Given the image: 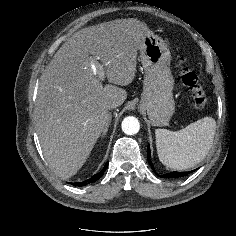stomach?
Segmentation results:
<instances>
[{"instance_id": "stomach-1", "label": "stomach", "mask_w": 236, "mask_h": 236, "mask_svg": "<svg viewBox=\"0 0 236 236\" xmlns=\"http://www.w3.org/2000/svg\"><path fill=\"white\" fill-rule=\"evenodd\" d=\"M140 31L144 37L140 47L144 81L139 107L147 112L152 125L166 126L175 111L171 54L168 45L149 31L144 23H141Z\"/></svg>"}]
</instances>
